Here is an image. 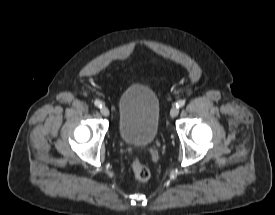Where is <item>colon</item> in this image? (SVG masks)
<instances>
[{"mask_svg": "<svg viewBox=\"0 0 275 215\" xmlns=\"http://www.w3.org/2000/svg\"><path fill=\"white\" fill-rule=\"evenodd\" d=\"M132 170L135 178L142 182L147 181L151 176L149 168L142 164L136 157L132 160Z\"/></svg>", "mask_w": 275, "mask_h": 215, "instance_id": "5ec220e1", "label": "colon"}]
</instances>
